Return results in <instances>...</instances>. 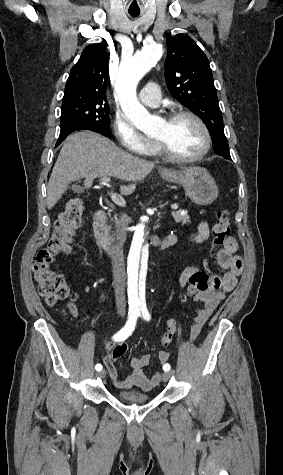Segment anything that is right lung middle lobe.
Segmentation results:
<instances>
[{
    "label": "right lung middle lobe",
    "mask_w": 283,
    "mask_h": 475,
    "mask_svg": "<svg viewBox=\"0 0 283 475\" xmlns=\"http://www.w3.org/2000/svg\"><path fill=\"white\" fill-rule=\"evenodd\" d=\"M110 107L106 97H63L61 128L82 126L87 130L110 136Z\"/></svg>",
    "instance_id": "1"
}]
</instances>
